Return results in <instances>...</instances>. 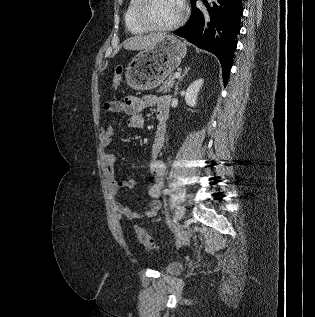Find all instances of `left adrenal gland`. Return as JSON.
Listing matches in <instances>:
<instances>
[{"instance_id": "1", "label": "left adrenal gland", "mask_w": 315, "mask_h": 317, "mask_svg": "<svg viewBox=\"0 0 315 317\" xmlns=\"http://www.w3.org/2000/svg\"><path fill=\"white\" fill-rule=\"evenodd\" d=\"M189 69H190L189 67H186V68H185L184 73H183L182 76L179 78L178 82L176 83L175 91H174V96L177 95L178 85H179L180 81L184 78V76L188 73Z\"/></svg>"}]
</instances>
